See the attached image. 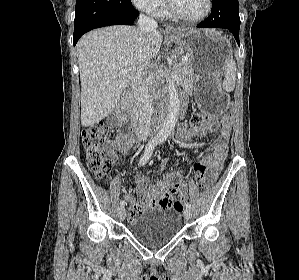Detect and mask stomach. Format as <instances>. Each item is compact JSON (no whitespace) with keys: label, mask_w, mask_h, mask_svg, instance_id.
I'll return each instance as SVG.
<instances>
[{"label":"stomach","mask_w":299,"mask_h":280,"mask_svg":"<svg viewBox=\"0 0 299 280\" xmlns=\"http://www.w3.org/2000/svg\"><path fill=\"white\" fill-rule=\"evenodd\" d=\"M169 39L190 54L193 91L200 109L209 115L220 114L226 95L219 77L232 55L230 42L213 29L177 31Z\"/></svg>","instance_id":"0dacf381"}]
</instances>
